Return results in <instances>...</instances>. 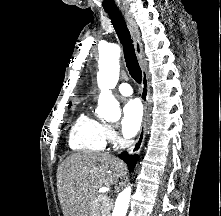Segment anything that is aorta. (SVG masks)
<instances>
[{"instance_id": "obj_1", "label": "aorta", "mask_w": 221, "mask_h": 216, "mask_svg": "<svg viewBox=\"0 0 221 216\" xmlns=\"http://www.w3.org/2000/svg\"><path fill=\"white\" fill-rule=\"evenodd\" d=\"M120 47L109 44L99 51V72L97 74L98 86L101 90L98 99L97 115L109 121L120 118L119 102L112 95L119 80ZM131 187H126L118 194L112 216H125L130 202Z\"/></svg>"}]
</instances>
